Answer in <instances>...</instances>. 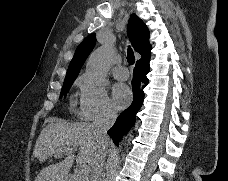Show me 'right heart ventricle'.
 <instances>
[{
    "label": "right heart ventricle",
    "instance_id": "1",
    "mask_svg": "<svg viewBox=\"0 0 228 181\" xmlns=\"http://www.w3.org/2000/svg\"><path fill=\"white\" fill-rule=\"evenodd\" d=\"M74 85H77V86H83L84 85V82L82 81L81 78H77L74 82Z\"/></svg>",
    "mask_w": 228,
    "mask_h": 181
}]
</instances>
